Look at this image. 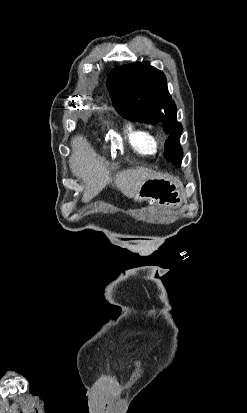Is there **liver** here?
<instances>
[{
    "label": "liver",
    "instance_id": "1",
    "mask_svg": "<svg viewBox=\"0 0 247 413\" xmlns=\"http://www.w3.org/2000/svg\"><path fill=\"white\" fill-rule=\"evenodd\" d=\"M72 146L73 152L69 156L70 168L75 176H80L83 182H85V190L82 196L83 202H89L93 196H96L110 182L118 190H121L125 196L131 198V196H135L136 192H138L142 182H145L148 178L160 176L156 170L144 168V166L118 170L114 174L110 170V166L97 156L95 150L91 148L84 136H75L72 140Z\"/></svg>",
    "mask_w": 247,
    "mask_h": 413
}]
</instances>
